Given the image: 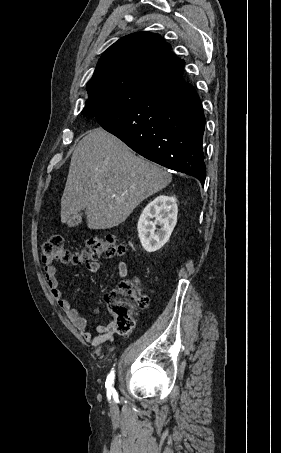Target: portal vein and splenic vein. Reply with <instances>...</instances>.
Masks as SVG:
<instances>
[{
  "instance_id": "18ae733b",
  "label": "portal vein and splenic vein",
  "mask_w": 281,
  "mask_h": 453,
  "mask_svg": "<svg viewBox=\"0 0 281 453\" xmlns=\"http://www.w3.org/2000/svg\"><path fill=\"white\" fill-rule=\"evenodd\" d=\"M107 192H108V190H107ZM113 196H114V198H117L116 194H113Z\"/></svg>"
}]
</instances>
